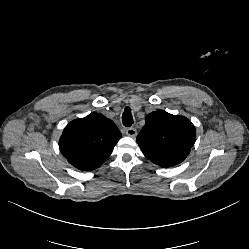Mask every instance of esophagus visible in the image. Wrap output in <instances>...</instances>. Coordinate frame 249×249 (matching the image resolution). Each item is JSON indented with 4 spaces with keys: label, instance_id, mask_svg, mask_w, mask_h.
Here are the masks:
<instances>
[{
    "label": "esophagus",
    "instance_id": "obj_1",
    "mask_svg": "<svg viewBox=\"0 0 249 249\" xmlns=\"http://www.w3.org/2000/svg\"><path fill=\"white\" fill-rule=\"evenodd\" d=\"M125 132L129 137L135 138L137 136V130L134 127L127 128Z\"/></svg>",
    "mask_w": 249,
    "mask_h": 249
}]
</instances>
